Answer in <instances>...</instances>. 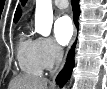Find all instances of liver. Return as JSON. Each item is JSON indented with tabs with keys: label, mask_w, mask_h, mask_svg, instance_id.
Segmentation results:
<instances>
[{
	"label": "liver",
	"mask_w": 107,
	"mask_h": 89,
	"mask_svg": "<svg viewBox=\"0 0 107 89\" xmlns=\"http://www.w3.org/2000/svg\"><path fill=\"white\" fill-rule=\"evenodd\" d=\"M45 78L32 75H18L9 84V89H48Z\"/></svg>",
	"instance_id": "1"
}]
</instances>
